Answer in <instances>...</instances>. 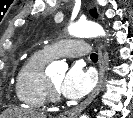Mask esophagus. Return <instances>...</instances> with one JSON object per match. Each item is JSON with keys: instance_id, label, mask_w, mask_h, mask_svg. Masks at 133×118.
<instances>
[{"instance_id": "34e87169", "label": "esophagus", "mask_w": 133, "mask_h": 118, "mask_svg": "<svg viewBox=\"0 0 133 118\" xmlns=\"http://www.w3.org/2000/svg\"><path fill=\"white\" fill-rule=\"evenodd\" d=\"M98 63H99V79L96 87L91 92V94L78 106L66 111L61 115V118H76L91 102L92 100L97 96L99 93L103 79H104V73H105V62L103 58L102 51L99 49L98 53Z\"/></svg>"}]
</instances>
